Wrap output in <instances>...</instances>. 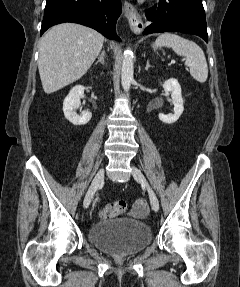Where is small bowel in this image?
Segmentation results:
<instances>
[{
	"label": "small bowel",
	"instance_id": "1",
	"mask_svg": "<svg viewBox=\"0 0 240 287\" xmlns=\"http://www.w3.org/2000/svg\"><path fill=\"white\" fill-rule=\"evenodd\" d=\"M133 213L138 216H142L147 214L148 212V205L147 202L143 198L135 199L133 203Z\"/></svg>",
	"mask_w": 240,
	"mask_h": 287
}]
</instances>
